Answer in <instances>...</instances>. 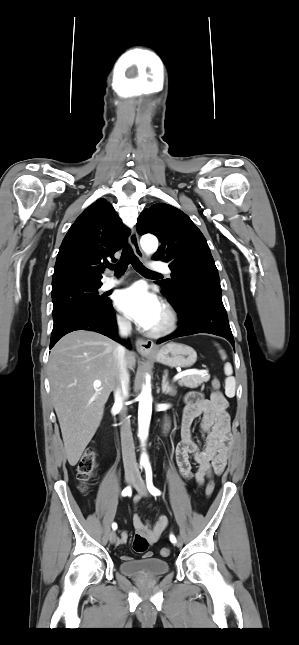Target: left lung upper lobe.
<instances>
[{
  "label": "left lung upper lobe",
  "mask_w": 299,
  "mask_h": 645,
  "mask_svg": "<svg viewBox=\"0 0 299 645\" xmlns=\"http://www.w3.org/2000/svg\"><path fill=\"white\" fill-rule=\"evenodd\" d=\"M139 234L151 233L161 241L155 260L169 262L171 279L158 282L163 293L177 296L207 281H219V274L202 232L179 209L157 203L138 218Z\"/></svg>",
  "instance_id": "1"
}]
</instances>
